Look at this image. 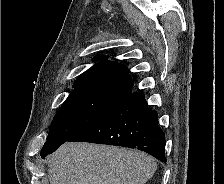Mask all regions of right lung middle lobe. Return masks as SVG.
Masks as SVG:
<instances>
[{"label":"right lung middle lobe","mask_w":224,"mask_h":184,"mask_svg":"<svg viewBox=\"0 0 224 184\" xmlns=\"http://www.w3.org/2000/svg\"><path fill=\"white\" fill-rule=\"evenodd\" d=\"M131 88L111 83L76 86L53 118L42 151L61 145L122 100Z\"/></svg>","instance_id":"obj_1"}]
</instances>
